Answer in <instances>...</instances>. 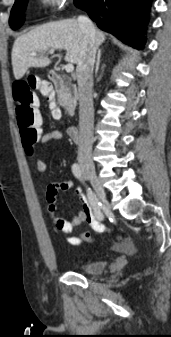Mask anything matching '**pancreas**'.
<instances>
[{"label":"pancreas","instance_id":"cf45deb5","mask_svg":"<svg viewBox=\"0 0 171 337\" xmlns=\"http://www.w3.org/2000/svg\"><path fill=\"white\" fill-rule=\"evenodd\" d=\"M77 95L74 89L65 87L58 91V103L62 105L69 115H73L76 106Z\"/></svg>","mask_w":171,"mask_h":337}]
</instances>
